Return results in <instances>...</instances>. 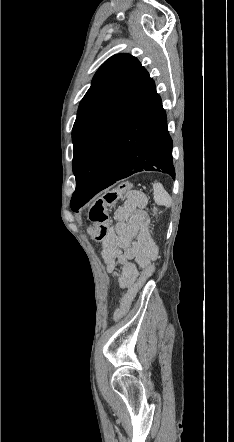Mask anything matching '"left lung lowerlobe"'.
Wrapping results in <instances>:
<instances>
[{"instance_id": "left-lung-lower-lobe-1", "label": "left lung lower lobe", "mask_w": 234, "mask_h": 442, "mask_svg": "<svg viewBox=\"0 0 234 442\" xmlns=\"http://www.w3.org/2000/svg\"><path fill=\"white\" fill-rule=\"evenodd\" d=\"M143 170L160 171L175 178L166 114L146 70L88 142L71 209L78 212L101 190Z\"/></svg>"}]
</instances>
